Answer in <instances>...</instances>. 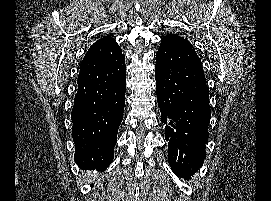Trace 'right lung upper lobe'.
<instances>
[{
  "label": "right lung upper lobe",
  "mask_w": 271,
  "mask_h": 201,
  "mask_svg": "<svg viewBox=\"0 0 271 201\" xmlns=\"http://www.w3.org/2000/svg\"><path fill=\"white\" fill-rule=\"evenodd\" d=\"M108 39V37H105L104 40Z\"/></svg>",
  "instance_id": "obj_1"
}]
</instances>
